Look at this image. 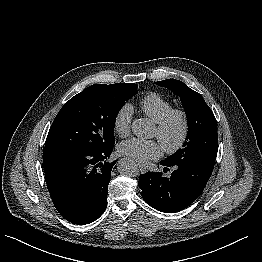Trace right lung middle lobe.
<instances>
[{"label": "right lung middle lobe", "mask_w": 262, "mask_h": 262, "mask_svg": "<svg viewBox=\"0 0 262 262\" xmlns=\"http://www.w3.org/2000/svg\"><path fill=\"white\" fill-rule=\"evenodd\" d=\"M134 83L91 85L67 101L54 119L45 147L105 150L114 146L115 119L135 95Z\"/></svg>", "instance_id": "right-lung-middle-lobe-1"}]
</instances>
